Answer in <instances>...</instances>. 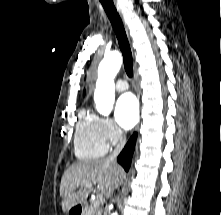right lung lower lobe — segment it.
Instances as JSON below:
<instances>
[{
    "label": "right lung lower lobe",
    "mask_w": 221,
    "mask_h": 215,
    "mask_svg": "<svg viewBox=\"0 0 221 215\" xmlns=\"http://www.w3.org/2000/svg\"><path fill=\"white\" fill-rule=\"evenodd\" d=\"M137 134L134 133V135L131 137L129 142L126 144L125 148L123 151L120 153V155L117 158V161L119 164L126 170H129L130 163H131V158L133 155V151L135 148V138Z\"/></svg>",
    "instance_id": "1"
}]
</instances>
